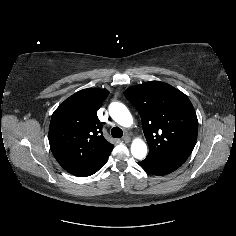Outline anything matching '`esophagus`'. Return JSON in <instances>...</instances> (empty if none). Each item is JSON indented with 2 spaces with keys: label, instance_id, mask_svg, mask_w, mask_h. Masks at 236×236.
Returning a JSON list of instances; mask_svg holds the SVG:
<instances>
[{
  "label": "esophagus",
  "instance_id": "esophagus-1",
  "mask_svg": "<svg viewBox=\"0 0 236 236\" xmlns=\"http://www.w3.org/2000/svg\"><path fill=\"white\" fill-rule=\"evenodd\" d=\"M122 140H123L124 142L128 143V142H130L131 138H130L129 135H125V136L122 138Z\"/></svg>",
  "mask_w": 236,
  "mask_h": 236
}]
</instances>
